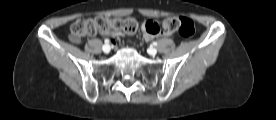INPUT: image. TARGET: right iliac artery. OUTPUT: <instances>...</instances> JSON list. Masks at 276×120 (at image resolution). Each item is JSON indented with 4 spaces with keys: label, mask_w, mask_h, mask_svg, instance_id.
Wrapping results in <instances>:
<instances>
[{
    "label": "right iliac artery",
    "mask_w": 276,
    "mask_h": 120,
    "mask_svg": "<svg viewBox=\"0 0 276 120\" xmlns=\"http://www.w3.org/2000/svg\"><path fill=\"white\" fill-rule=\"evenodd\" d=\"M104 42H105V44H108L110 41H109V39H105Z\"/></svg>",
    "instance_id": "82829eb1"
}]
</instances>
